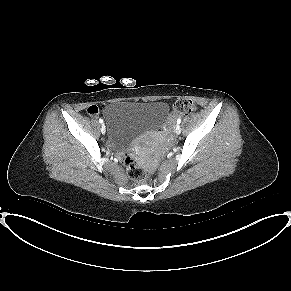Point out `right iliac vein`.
<instances>
[{"label":"right iliac vein","mask_w":291,"mask_h":291,"mask_svg":"<svg viewBox=\"0 0 291 291\" xmlns=\"http://www.w3.org/2000/svg\"><path fill=\"white\" fill-rule=\"evenodd\" d=\"M101 132H102L103 134L106 132V128H105V125H104V124H102Z\"/></svg>","instance_id":"63e3f726"}]
</instances>
